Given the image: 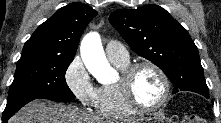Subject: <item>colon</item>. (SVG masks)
<instances>
[{"label": "colon", "mask_w": 221, "mask_h": 123, "mask_svg": "<svg viewBox=\"0 0 221 123\" xmlns=\"http://www.w3.org/2000/svg\"><path fill=\"white\" fill-rule=\"evenodd\" d=\"M205 119L196 113H186L182 123H205Z\"/></svg>", "instance_id": "1"}]
</instances>
